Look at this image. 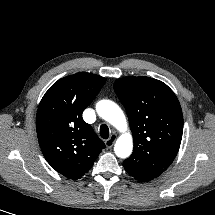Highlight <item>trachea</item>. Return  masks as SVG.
Returning a JSON list of instances; mask_svg holds the SVG:
<instances>
[{
    "label": "trachea",
    "instance_id": "1",
    "mask_svg": "<svg viewBox=\"0 0 215 215\" xmlns=\"http://www.w3.org/2000/svg\"><path fill=\"white\" fill-rule=\"evenodd\" d=\"M100 135L103 139H108L109 137V128L106 124L100 126Z\"/></svg>",
    "mask_w": 215,
    "mask_h": 215
}]
</instances>
